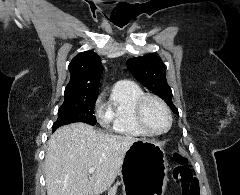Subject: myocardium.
Returning <instances> with one entry per match:
<instances>
[{
    "instance_id": "1",
    "label": "myocardium",
    "mask_w": 240,
    "mask_h": 195,
    "mask_svg": "<svg viewBox=\"0 0 240 195\" xmlns=\"http://www.w3.org/2000/svg\"><path fill=\"white\" fill-rule=\"evenodd\" d=\"M148 101H154V102L158 103L166 115L167 125L161 131H156V130L152 129L151 127H149V125L147 124V122L145 120L144 108ZM135 116H136V121H137L138 125L143 129V131L145 133H147L148 135H151V136L163 135V134L167 133L172 126V115H171L170 109L168 108L167 104L160 97L153 95V94H143L142 96H140L138 98L136 105H135Z\"/></svg>"
}]
</instances>
